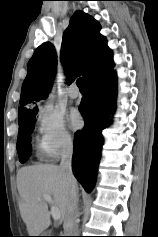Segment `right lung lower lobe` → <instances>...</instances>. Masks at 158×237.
I'll return each instance as SVG.
<instances>
[{
    "instance_id": "1",
    "label": "right lung lower lobe",
    "mask_w": 158,
    "mask_h": 237,
    "mask_svg": "<svg viewBox=\"0 0 158 237\" xmlns=\"http://www.w3.org/2000/svg\"><path fill=\"white\" fill-rule=\"evenodd\" d=\"M112 68L87 82V94L79 106L85 124L75 134L72 167L87 192L95 183L102 146L101 131L110 123L108 115L115 109L116 75Z\"/></svg>"
}]
</instances>
